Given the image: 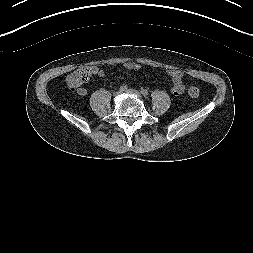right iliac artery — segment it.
<instances>
[{
	"label": "right iliac artery",
	"instance_id": "1",
	"mask_svg": "<svg viewBox=\"0 0 253 253\" xmlns=\"http://www.w3.org/2000/svg\"><path fill=\"white\" fill-rule=\"evenodd\" d=\"M127 85H122L121 87H120V92H124V91H126L127 90Z\"/></svg>",
	"mask_w": 253,
	"mask_h": 253
}]
</instances>
